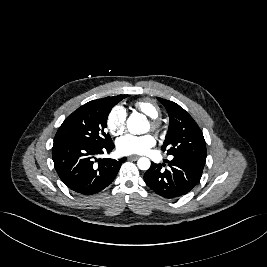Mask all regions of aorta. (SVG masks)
<instances>
[{
	"mask_svg": "<svg viewBox=\"0 0 267 267\" xmlns=\"http://www.w3.org/2000/svg\"><path fill=\"white\" fill-rule=\"evenodd\" d=\"M147 121L145 117L139 113H132L127 119L128 131L132 134H143L147 132ZM140 170H148L151 162L146 157H141L137 162Z\"/></svg>",
	"mask_w": 267,
	"mask_h": 267,
	"instance_id": "762f6f07",
	"label": "aorta"
}]
</instances>
